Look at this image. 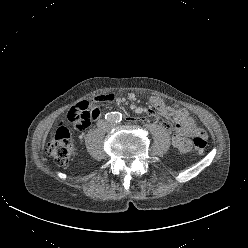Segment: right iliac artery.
Here are the masks:
<instances>
[{
    "instance_id": "1",
    "label": "right iliac artery",
    "mask_w": 248,
    "mask_h": 248,
    "mask_svg": "<svg viewBox=\"0 0 248 248\" xmlns=\"http://www.w3.org/2000/svg\"><path fill=\"white\" fill-rule=\"evenodd\" d=\"M105 119L108 120V121H113L115 119V113L114 112L107 113L105 115Z\"/></svg>"
}]
</instances>
